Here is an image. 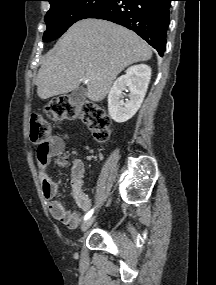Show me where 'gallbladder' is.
Returning a JSON list of instances; mask_svg holds the SVG:
<instances>
[{
  "instance_id": "1",
  "label": "gallbladder",
  "mask_w": 216,
  "mask_h": 285,
  "mask_svg": "<svg viewBox=\"0 0 216 285\" xmlns=\"http://www.w3.org/2000/svg\"><path fill=\"white\" fill-rule=\"evenodd\" d=\"M86 98V89L79 87L74 90L70 95V101L72 105H80L85 101Z\"/></svg>"
}]
</instances>
